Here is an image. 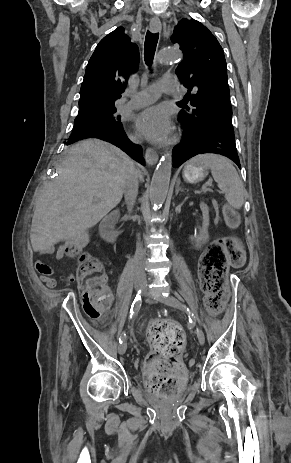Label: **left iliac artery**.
<instances>
[{
	"mask_svg": "<svg viewBox=\"0 0 291 463\" xmlns=\"http://www.w3.org/2000/svg\"><path fill=\"white\" fill-rule=\"evenodd\" d=\"M187 311L189 312V320L192 321V319H194V315L191 314L190 310L187 308Z\"/></svg>",
	"mask_w": 291,
	"mask_h": 463,
	"instance_id": "1",
	"label": "left iliac artery"
}]
</instances>
